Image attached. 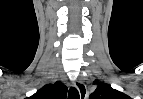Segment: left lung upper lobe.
Here are the masks:
<instances>
[{"label": "left lung upper lobe", "instance_id": "1", "mask_svg": "<svg viewBox=\"0 0 143 99\" xmlns=\"http://www.w3.org/2000/svg\"><path fill=\"white\" fill-rule=\"evenodd\" d=\"M98 86L95 91L90 95L89 99H131L126 94L113 89L110 85L105 83H99L98 80L94 81V84Z\"/></svg>", "mask_w": 143, "mask_h": 99}]
</instances>
